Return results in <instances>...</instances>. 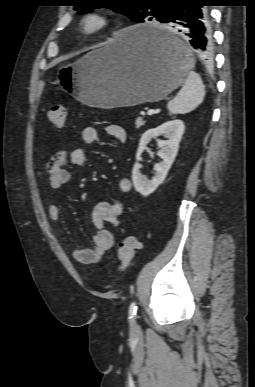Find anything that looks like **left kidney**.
Here are the masks:
<instances>
[{"mask_svg":"<svg viewBox=\"0 0 255 387\" xmlns=\"http://www.w3.org/2000/svg\"><path fill=\"white\" fill-rule=\"evenodd\" d=\"M185 125L182 120L176 119L163 123L162 125L147 130L141 137L139 147L136 153V163L132 170V180L137 192L143 196H148L164 181L167 173L175 160L178 152L179 143L184 134ZM164 136L167 140H157L160 150L157 155L162 159L160 163L155 164V176L148 180L139 170L138 161L141 154L146 149L147 144L152 138Z\"/></svg>","mask_w":255,"mask_h":387,"instance_id":"obj_1","label":"left kidney"}]
</instances>
